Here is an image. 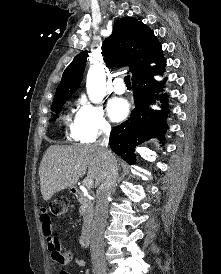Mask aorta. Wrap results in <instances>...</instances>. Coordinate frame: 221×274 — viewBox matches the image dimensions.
Wrapping results in <instances>:
<instances>
[{"label":"aorta","instance_id":"1","mask_svg":"<svg viewBox=\"0 0 221 274\" xmlns=\"http://www.w3.org/2000/svg\"><path fill=\"white\" fill-rule=\"evenodd\" d=\"M86 89L89 99L93 103H99L106 92V77L102 68L92 66L87 73Z\"/></svg>","mask_w":221,"mask_h":274}]
</instances>
